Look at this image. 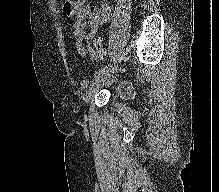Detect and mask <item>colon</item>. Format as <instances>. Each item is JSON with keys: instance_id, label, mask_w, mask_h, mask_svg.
<instances>
[{"instance_id": "5ec220e1", "label": "colon", "mask_w": 219, "mask_h": 192, "mask_svg": "<svg viewBox=\"0 0 219 192\" xmlns=\"http://www.w3.org/2000/svg\"><path fill=\"white\" fill-rule=\"evenodd\" d=\"M91 51L96 55H102L104 52L101 39H95L92 43Z\"/></svg>"}]
</instances>
